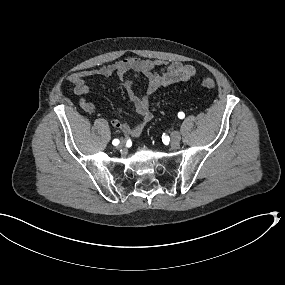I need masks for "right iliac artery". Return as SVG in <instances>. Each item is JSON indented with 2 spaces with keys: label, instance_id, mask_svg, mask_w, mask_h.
Segmentation results:
<instances>
[{
  "label": "right iliac artery",
  "instance_id": "obj_1",
  "mask_svg": "<svg viewBox=\"0 0 285 285\" xmlns=\"http://www.w3.org/2000/svg\"><path fill=\"white\" fill-rule=\"evenodd\" d=\"M112 144H113L114 146H117V145L119 144V140H118V139H114V140L112 141Z\"/></svg>",
  "mask_w": 285,
  "mask_h": 285
}]
</instances>
